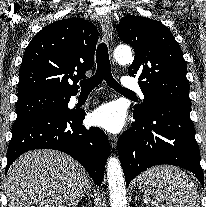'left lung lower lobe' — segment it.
<instances>
[{
	"instance_id": "1",
	"label": "left lung lower lobe",
	"mask_w": 206,
	"mask_h": 207,
	"mask_svg": "<svg viewBox=\"0 0 206 207\" xmlns=\"http://www.w3.org/2000/svg\"><path fill=\"white\" fill-rule=\"evenodd\" d=\"M191 106L150 101L144 114L118 140L126 185L145 169L171 164L193 172L204 187L200 152L190 119Z\"/></svg>"
}]
</instances>
